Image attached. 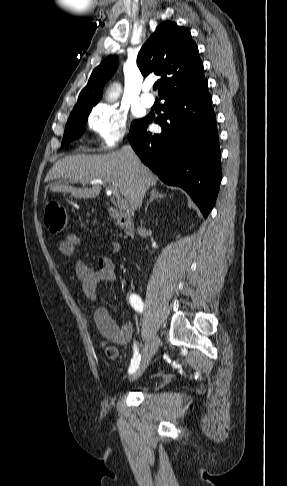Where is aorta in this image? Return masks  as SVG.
<instances>
[{"label": "aorta", "mask_w": 287, "mask_h": 486, "mask_svg": "<svg viewBox=\"0 0 287 486\" xmlns=\"http://www.w3.org/2000/svg\"><path fill=\"white\" fill-rule=\"evenodd\" d=\"M121 88L118 84L113 85L107 92V100L112 102L118 99Z\"/></svg>", "instance_id": "aorta-1"}]
</instances>
